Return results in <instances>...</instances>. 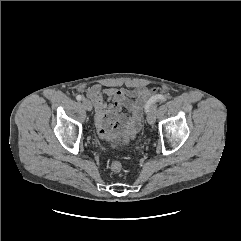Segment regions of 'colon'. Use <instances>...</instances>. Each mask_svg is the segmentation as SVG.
Instances as JSON below:
<instances>
[{
  "mask_svg": "<svg viewBox=\"0 0 241 241\" xmlns=\"http://www.w3.org/2000/svg\"><path fill=\"white\" fill-rule=\"evenodd\" d=\"M122 169V164L120 161L118 160H113L111 163H110V170L114 173H118L120 172Z\"/></svg>",
  "mask_w": 241,
  "mask_h": 241,
  "instance_id": "5ec220e1",
  "label": "colon"
}]
</instances>
